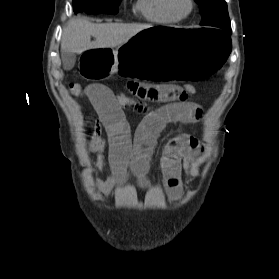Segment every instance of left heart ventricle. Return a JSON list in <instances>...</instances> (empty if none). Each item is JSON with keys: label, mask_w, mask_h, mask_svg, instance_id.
Listing matches in <instances>:
<instances>
[{"label": "left heart ventricle", "mask_w": 279, "mask_h": 279, "mask_svg": "<svg viewBox=\"0 0 279 279\" xmlns=\"http://www.w3.org/2000/svg\"><path fill=\"white\" fill-rule=\"evenodd\" d=\"M174 9L178 13H181V14L186 13L189 9L188 0H175Z\"/></svg>", "instance_id": "1"}]
</instances>
